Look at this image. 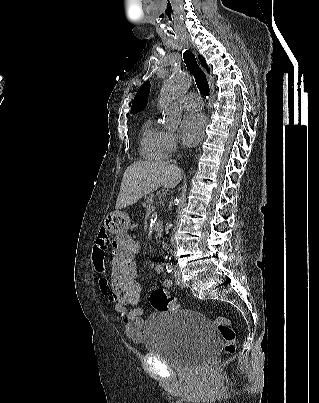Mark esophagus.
I'll return each mask as SVG.
<instances>
[{"mask_svg": "<svg viewBox=\"0 0 319 403\" xmlns=\"http://www.w3.org/2000/svg\"><path fill=\"white\" fill-rule=\"evenodd\" d=\"M207 79L209 81V85H210V89H211V95L213 96L214 93V84H213V79L211 77V75H209L208 73H206Z\"/></svg>", "mask_w": 319, "mask_h": 403, "instance_id": "34e87169", "label": "esophagus"}]
</instances>
